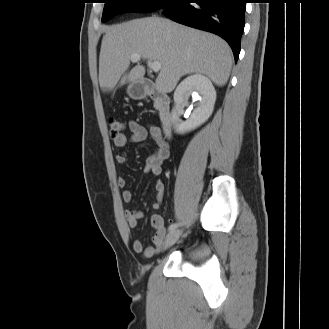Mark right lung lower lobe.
<instances>
[{
	"mask_svg": "<svg viewBox=\"0 0 329 329\" xmlns=\"http://www.w3.org/2000/svg\"><path fill=\"white\" fill-rule=\"evenodd\" d=\"M247 0H170L163 14L171 20L219 35L240 53Z\"/></svg>",
	"mask_w": 329,
	"mask_h": 329,
	"instance_id": "obj_1",
	"label": "right lung lower lobe"
}]
</instances>
